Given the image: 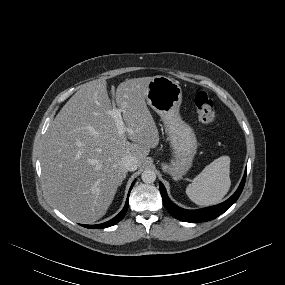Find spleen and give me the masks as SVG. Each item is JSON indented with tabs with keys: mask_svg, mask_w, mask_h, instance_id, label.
Wrapping results in <instances>:
<instances>
[{
	"mask_svg": "<svg viewBox=\"0 0 285 285\" xmlns=\"http://www.w3.org/2000/svg\"><path fill=\"white\" fill-rule=\"evenodd\" d=\"M230 157L221 156L207 165L186 188V194L197 205L219 203L231 186Z\"/></svg>",
	"mask_w": 285,
	"mask_h": 285,
	"instance_id": "obj_1",
	"label": "spleen"
}]
</instances>
